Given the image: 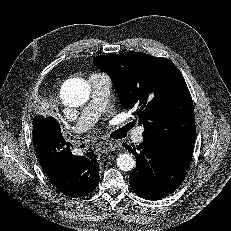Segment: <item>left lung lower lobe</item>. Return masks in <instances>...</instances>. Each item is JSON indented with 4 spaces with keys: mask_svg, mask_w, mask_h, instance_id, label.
<instances>
[{
    "mask_svg": "<svg viewBox=\"0 0 231 231\" xmlns=\"http://www.w3.org/2000/svg\"><path fill=\"white\" fill-rule=\"evenodd\" d=\"M124 146L136 157V168L129 177L130 185L147 200L168 196L181 185L194 147H175L156 138H144L137 148Z\"/></svg>",
    "mask_w": 231,
    "mask_h": 231,
    "instance_id": "0a47b994",
    "label": "left lung lower lobe"
}]
</instances>
